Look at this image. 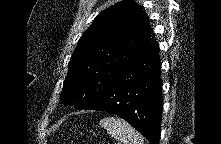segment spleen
<instances>
[{
    "instance_id": "obj_1",
    "label": "spleen",
    "mask_w": 221,
    "mask_h": 144,
    "mask_svg": "<svg viewBox=\"0 0 221 144\" xmlns=\"http://www.w3.org/2000/svg\"><path fill=\"white\" fill-rule=\"evenodd\" d=\"M100 125L122 144H144L143 136L124 119L107 117L100 120Z\"/></svg>"
}]
</instances>
